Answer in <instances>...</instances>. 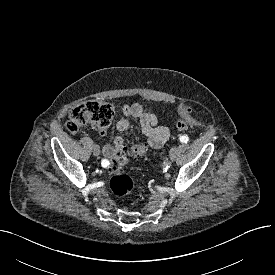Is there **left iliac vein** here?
Returning a JSON list of instances; mask_svg holds the SVG:
<instances>
[{"instance_id":"4c4485c4","label":"left iliac vein","mask_w":275,"mask_h":275,"mask_svg":"<svg viewBox=\"0 0 275 275\" xmlns=\"http://www.w3.org/2000/svg\"><path fill=\"white\" fill-rule=\"evenodd\" d=\"M177 148L176 147H172L170 149L169 155H170V159L174 160L176 158V154H177Z\"/></svg>"}]
</instances>
